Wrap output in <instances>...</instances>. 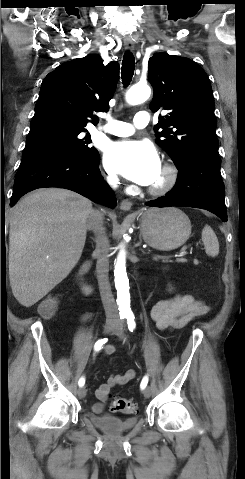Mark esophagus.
<instances>
[{
	"mask_svg": "<svg viewBox=\"0 0 245 479\" xmlns=\"http://www.w3.org/2000/svg\"><path fill=\"white\" fill-rule=\"evenodd\" d=\"M124 46L126 47V49L132 51L133 48H134V44L131 40H125L124 41ZM132 207V203L131 201L125 199L123 200L121 203H120V208L124 211H129Z\"/></svg>",
	"mask_w": 245,
	"mask_h": 479,
	"instance_id": "esophagus-1",
	"label": "esophagus"
}]
</instances>
